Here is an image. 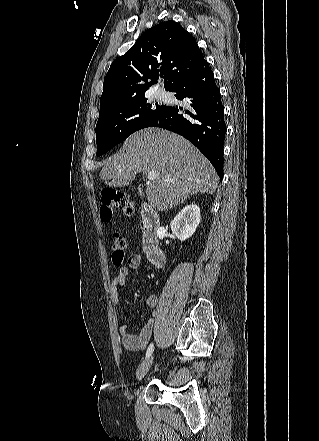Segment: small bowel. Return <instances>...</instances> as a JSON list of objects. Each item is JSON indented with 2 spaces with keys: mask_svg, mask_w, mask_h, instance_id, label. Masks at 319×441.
Listing matches in <instances>:
<instances>
[{
  "mask_svg": "<svg viewBox=\"0 0 319 441\" xmlns=\"http://www.w3.org/2000/svg\"><path fill=\"white\" fill-rule=\"evenodd\" d=\"M141 264V256L139 254H132L128 258V265L119 268L117 275L111 282L109 295L115 306L119 303L120 289L126 284L127 278L131 271L137 269ZM158 298L156 295H149L145 304L147 307L154 309L157 305ZM154 328V315H151L138 335L131 334L127 331L124 323H119V333L124 347L130 351H142L146 348Z\"/></svg>",
  "mask_w": 319,
  "mask_h": 441,
  "instance_id": "c3829d8e",
  "label": "small bowel"
}]
</instances>
